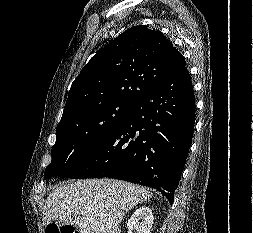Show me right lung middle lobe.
<instances>
[{
	"instance_id": "1",
	"label": "right lung middle lobe",
	"mask_w": 253,
	"mask_h": 233,
	"mask_svg": "<svg viewBox=\"0 0 253 233\" xmlns=\"http://www.w3.org/2000/svg\"><path fill=\"white\" fill-rule=\"evenodd\" d=\"M133 104L132 100H105L63 116L44 177L62 173L99 147L126 119Z\"/></svg>"
}]
</instances>
